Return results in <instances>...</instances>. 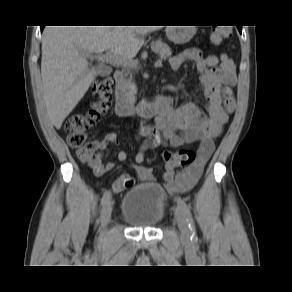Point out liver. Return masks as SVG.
Returning a JSON list of instances; mask_svg holds the SVG:
<instances>
[{"label": "liver", "mask_w": 292, "mask_h": 292, "mask_svg": "<svg viewBox=\"0 0 292 292\" xmlns=\"http://www.w3.org/2000/svg\"><path fill=\"white\" fill-rule=\"evenodd\" d=\"M158 26H47L43 31L41 76L44 101L52 124L60 129L95 80L90 53L108 51L134 57L144 36Z\"/></svg>", "instance_id": "obj_1"}]
</instances>
